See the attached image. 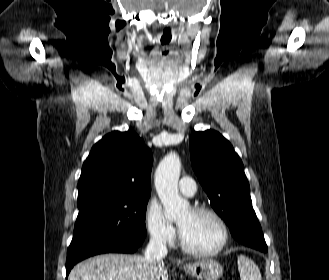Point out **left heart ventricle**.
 <instances>
[{
    "instance_id": "left-heart-ventricle-1",
    "label": "left heart ventricle",
    "mask_w": 329,
    "mask_h": 280,
    "mask_svg": "<svg viewBox=\"0 0 329 280\" xmlns=\"http://www.w3.org/2000/svg\"><path fill=\"white\" fill-rule=\"evenodd\" d=\"M177 223L185 242L195 249H213L221 240L220 227L209 215L194 214L188 209L178 218Z\"/></svg>"
}]
</instances>
